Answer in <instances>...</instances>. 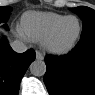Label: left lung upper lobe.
<instances>
[{"label":"left lung upper lobe","instance_id":"5c2ea615","mask_svg":"<svg viewBox=\"0 0 95 95\" xmlns=\"http://www.w3.org/2000/svg\"><path fill=\"white\" fill-rule=\"evenodd\" d=\"M71 10L75 11L83 20L82 34L80 38L95 33V11L93 9L80 6L75 9L72 8Z\"/></svg>","mask_w":95,"mask_h":95}]
</instances>
